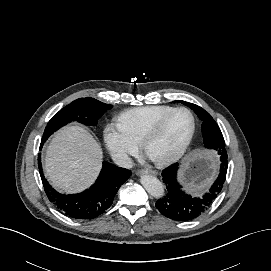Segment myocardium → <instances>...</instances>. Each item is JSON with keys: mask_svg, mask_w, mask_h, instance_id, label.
Segmentation results:
<instances>
[{"mask_svg": "<svg viewBox=\"0 0 271 271\" xmlns=\"http://www.w3.org/2000/svg\"><path fill=\"white\" fill-rule=\"evenodd\" d=\"M179 111H185L187 112L192 120V128L190 131V134L187 138V140L184 142V144L177 149L175 152L163 156V157H152L148 154V148L149 145L154 141V139L159 135V133L161 132L162 128L164 127V125L166 124V122L168 121V119L175 113L179 112ZM196 117L194 115V113L187 107H176L173 108L171 111H169L167 114H165L162 118H160L142 137L141 141H140V146L141 149L143 150V152L157 165L160 166H166V165H170L175 163L176 161H178L190 148L195 133H196Z\"/></svg>", "mask_w": 271, "mask_h": 271, "instance_id": "obj_1", "label": "myocardium"}]
</instances>
